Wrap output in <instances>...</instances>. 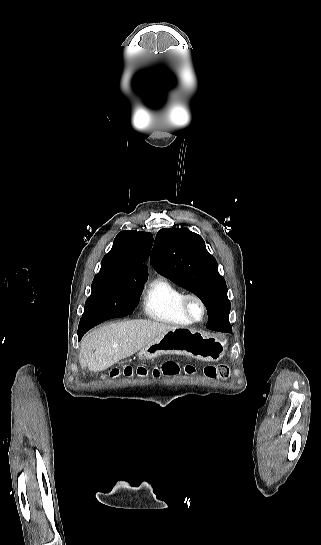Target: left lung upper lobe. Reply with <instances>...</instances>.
<instances>
[{
	"label": "left lung upper lobe",
	"instance_id": "obj_1",
	"mask_svg": "<svg viewBox=\"0 0 321 545\" xmlns=\"http://www.w3.org/2000/svg\"><path fill=\"white\" fill-rule=\"evenodd\" d=\"M150 261L158 273L198 296L207 310L229 316L225 280L200 235L186 228L161 229Z\"/></svg>",
	"mask_w": 321,
	"mask_h": 545
}]
</instances>
